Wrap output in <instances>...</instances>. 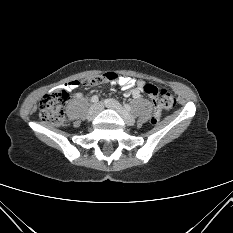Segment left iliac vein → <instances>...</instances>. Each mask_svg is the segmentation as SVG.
I'll list each match as a JSON object with an SVG mask.
<instances>
[{"instance_id": "left-iliac-vein-1", "label": "left iliac vein", "mask_w": 233, "mask_h": 233, "mask_svg": "<svg viewBox=\"0 0 233 233\" xmlns=\"http://www.w3.org/2000/svg\"><path fill=\"white\" fill-rule=\"evenodd\" d=\"M104 104L106 107L115 110L123 118L128 126H133L135 124V118L129 112H127L116 100L106 99Z\"/></svg>"}]
</instances>
